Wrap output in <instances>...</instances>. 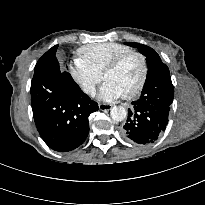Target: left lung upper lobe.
I'll use <instances>...</instances> for the list:
<instances>
[{
  "label": "left lung upper lobe",
  "instance_id": "left-lung-upper-lobe-1",
  "mask_svg": "<svg viewBox=\"0 0 205 205\" xmlns=\"http://www.w3.org/2000/svg\"><path fill=\"white\" fill-rule=\"evenodd\" d=\"M125 44L137 48L146 56L148 64L146 82L138 100L170 106L173 101L174 87L167 65L161 62V58L152 48L135 42H125Z\"/></svg>",
  "mask_w": 205,
  "mask_h": 205
}]
</instances>
